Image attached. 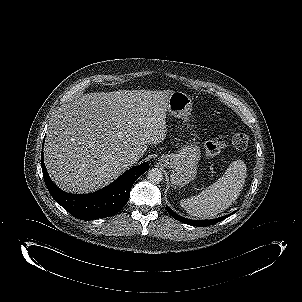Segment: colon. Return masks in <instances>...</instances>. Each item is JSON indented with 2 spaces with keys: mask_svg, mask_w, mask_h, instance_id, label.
<instances>
[{
  "mask_svg": "<svg viewBox=\"0 0 302 302\" xmlns=\"http://www.w3.org/2000/svg\"><path fill=\"white\" fill-rule=\"evenodd\" d=\"M248 135L244 131H236L231 136V144L239 149H243L248 144ZM227 141L223 137L213 138L205 143L204 153L207 157L217 156L226 146Z\"/></svg>",
  "mask_w": 302,
  "mask_h": 302,
  "instance_id": "1",
  "label": "colon"
}]
</instances>
